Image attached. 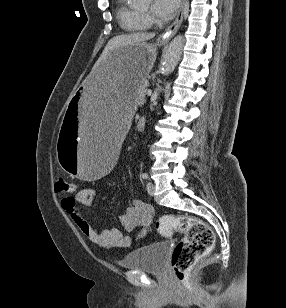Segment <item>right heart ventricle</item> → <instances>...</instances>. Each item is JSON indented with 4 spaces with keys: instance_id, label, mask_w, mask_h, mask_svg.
<instances>
[{
    "instance_id": "e07e8e85",
    "label": "right heart ventricle",
    "mask_w": 286,
    "mask_h": 308,
    "mask_svg": "<svg viewBox=\"0 0 286 308\" xmlns=\"http://www.w3.org/2000/svg\"><path fill=\"white\" fill-rule=\"evenodd\" d=\"M116 16L121 28L126 32L138 33L147 30L150 26L147 17L132 8L128 0H118Z\"/></svg>"
}]
</instances>
